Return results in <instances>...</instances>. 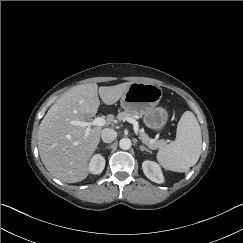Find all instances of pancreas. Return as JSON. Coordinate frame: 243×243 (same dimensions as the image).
Instances as JSON below:
<instances>
[{"mask_svg":"<svg viewBox=\"0 0 243 243\" xmlns=\"http://www.w3.org/2000/svg\"><path fill=\"white\" fill-rule=\"evenodd\" d=\"M126 118H131V119H136L137 115L134 113H129V112H120L117 116V119L120 121H124ZM139 139L145 144L147 145L150 149H157L159 148L162 143L161 142H156L153 141L145 132L144 130H140L139 131Z\"/></svg>","mask_w":243,"mask_h":243,"instance_id":"1","label":"pancreas"}]
</instances>
